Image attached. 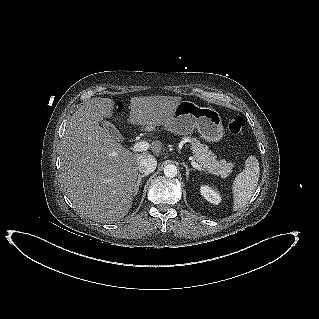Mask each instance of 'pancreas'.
Returning <instances> with one entry per match:
<instances>
[{
    "mask_svg": "<svg viewBox=\"0 0 319 319\" xmlns=\"http://www.w3.org/2000/svg\"><path fill=\"white\" fill-rule=\"evenodd\" d=\"M188 142L194 153L193 160L206 169L209 173L225 178L232 172L234 164L225 159L216 160L217 156L209 150L207 145L200 143L196 138L188 137Z\"/></svg>",
    "mask_w": 319,
    "mask_h": 319,
    "instance_id": "pancreas-1",
    "label": "pancreas"
}]
</instances>
